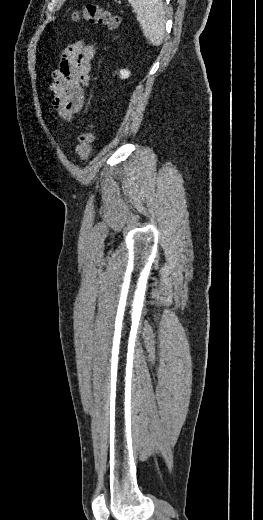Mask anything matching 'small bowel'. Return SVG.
Returning <instances> with one entry per match:
<instances>
[{
    "instance_id": "1",
    "label": "small bowel",
    "mask_w": 263,
    "mask_h": 520,
    "mask_svg": "<svg viewBox=\"0 0 263 520\" xmlns=\"http://www.w3.org/2000/svg\"><path fill=\"white\" fill-rule=\"evenodd\" d=\"M94 55L93 44L78 42L66 50L59 67L53 72V81L49 87L53 93V108L66 121H70L83 108L84 87L90 81Z\"/></svg>"
}]
</instances>
